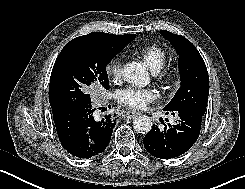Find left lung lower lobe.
Wrapping results in <instances>:
<instances>
[{
	"instance_id": "obj_1",
	"label": "left lung lower lobe",
	"mask_w": 245,
	"mask_h": 189,
	"mask_svg": "<svg viewBox=\"0 0 245 189\" xmlns=\"http://www.w3.org/2000/svg\"><path fill=\"white\" fill-rule=\"evenodd\" d=\"M171 112L172 115L179 116L177 124H169V128L165 125L164 130L153 125L143 140L145 149L160 159H170L184 154L196 142L200 133L203 114L199 111L182 109Z\"/></svg>"
}]
</instances>
